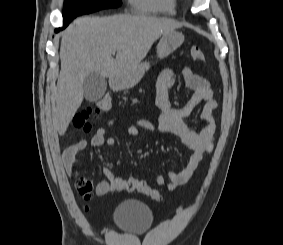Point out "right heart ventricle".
Masks as SVG:
<instances>
[{
  "label": "right heart ventricle",
  "instance_id": "right-heart-ventricle-1",
  "mask_svg": "<svg viewBox=\"0 0 283 245\" xmlns=\"http://www.w3.org/2000/svg\"><path fill=\"white\" fill-rule=\"evenodd\" d=\"M130 6L142 13L173 15L176 13V0H128Z\"/></svg>",
  "mask_w": 283,
  "mask_h": 245
}]
</instances>
